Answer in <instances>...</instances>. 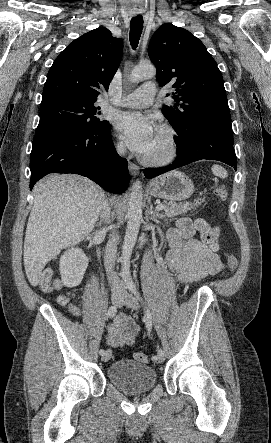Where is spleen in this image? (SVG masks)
<instances>
[{
	"mask_svg": "<svg viewBox=\"0 0 271 443\" xmlns=\"http://www.w3.org/2000/svg\"><path fill=\"white\" fill-rule=\"evenodd\" d=\"M211 170L214 176H218V178H227V172L222 166H217V164H215V166H212Z\"/></svg>",
	"mask_w": 271,
	"mask_h": 443,
	"instance_id": "spleen-1",
	"label": "spleen"
}]
</instances>
